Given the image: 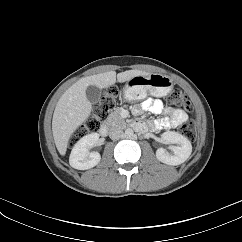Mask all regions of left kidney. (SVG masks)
Wrapping results in <instances>:
<instances>
[{
	"mask_svg": "<svg viewBox=\"0 0 242 242\" xmlns=\"http://www.w3.org/2000/svg\"><path fill=\"white\" fill-rule=\"evenodd\" d=\"M160 139L166 144H177V146L171 145L169 147L171 153L164 148H159L156 151V157L162 163L180 165L191 155L192 145L185 136L174 131H167L160 135Z\"/></svg>",
	"mask_w": 242,
	"mask_h": 242,
	"instance_id": "5707ae66",
	"label": "left kidney"
}]
</instances>
